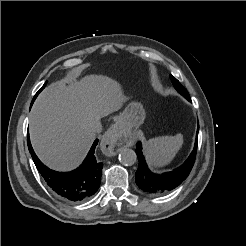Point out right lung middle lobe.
<instances>
[{
  "mask_svg": "<svg viewBox=\"0 0 246 246\" xmlns=\"http://www.w3.org/2000/svg\"><path fill=\"white\" fill-rule=\"evenodd\" d=\"M45 85H46V83L43 85V87L39 90V92L45 87ZM38 92V93H39ZM38 93L35 95V98H36V96L38 95Z\"/></svg>",
  "mask_w": 246,
  "mask_h": 246,
  "instance_id": "right-lung-middle-lobe-1",
  "label": "right lung middle lobe"
}]
</instances>
